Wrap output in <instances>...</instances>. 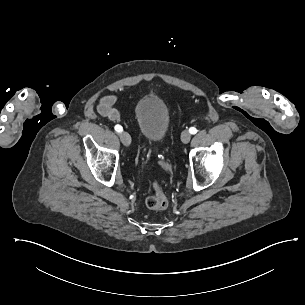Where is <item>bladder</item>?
I'll use <instances>...</instances> for the list:
<instances>
[{
    "label": "bladder",
    "mask_w": 305,
    "mask_h": 305,
    "mask_svg": "<svg viewBox=\"0 0 305 305\" xmlns=\"http://www.w3.org/2000/svg\"><path fill=\"white\" fill-rule=\"evenodd\" d=\"M139 134L147 141L164 140L172 124V108L156 93L140 96L132 106Z\"/></svg>",
    "instance_id": "1"
}]
</instances>
